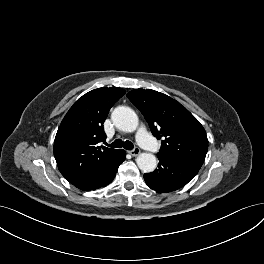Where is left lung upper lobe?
Returning <instances> with one entry per match:
<instances>
[{
	"label": "left lung upper lobe",
	"instance_id": "5c2ea615",
	"mask_svg": "<svg viewBox=\"0 0 264 264\" xmlns=\"http://www.w3.org/2000/svg\"><path fill=\"white\" fill-rule=\"evenodd\" d=\"M141 111L162 146L158 156L181 159L201 168L208 150L200 122L178 101L155 90L135 89L127 94Z\"/></svg>",
	"mask_w": 264,
	"mask_h": 264
}]
</instances>
